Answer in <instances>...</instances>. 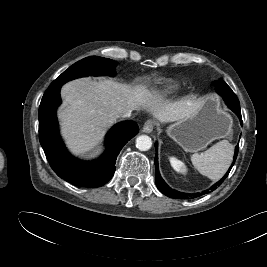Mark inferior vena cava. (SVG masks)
<instances>
[{
    "mask_svg": "<svg viewBox=\"0 0 267 267\" xmlns=\"http://www.w3.org/2000/svg\"><path fill=\"white\" fill-rule=\"evenodd\" d=\"M131 112H132V110H128L127 112L121 114V117H123V118L130 117L131 116Z\"/></svg>",
    "mask_w": 267,
    "mask_h": 267,
    "instance_id": "602c4592",
    "label": "inferior vena cava"
}]
</instances>
